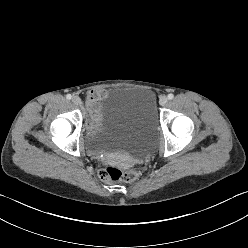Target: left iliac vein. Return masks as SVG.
I'll return each mask as SVG.
<instances>
[{"mask_svg": "<svg viewBox=\"0 0 248 248\" xmlns=\"http://www.w3.org/2000/svg\"><path fill=\"white\" fill-rule=\"evenodd\" d=\"M161 106H165L168 103V98L166 96H162L159 100Z\"/></svg>", "mask_w": 248, "mask_h": 248, "instance_id": "left-iliac-vein-1", "label": "left iliac vein"}]
</instances>
